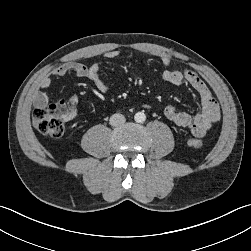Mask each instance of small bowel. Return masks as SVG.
<instances>
[{
  "instance_id": "1",
  "label": "small bowel",
  "mask_w": 251,
  "mask_h": 251,
  "mask_svg": "<svg viewBox=\"0 0 251 251\" xmlns=\"http://www.w3.org/2000/svg\"><path fill=\"white\" fill-rule=\"evenodd\" d=\"M104 56L106 59L113 60L119 56V51L111 50L106 52ZM161 63L166 67V70H164L162 74L164 81L174 85L187 82L197 92L200 99V111L194 117L184 111L178 110L172 105H167L164 108V116L177 126L189 128L194 136H204L220 119V108L211 91L193 70L171 69L172 61L169 57H163ZM70 71L74 72L78 77L90 80L100 93H107L112 87L111 84L105 82L100 76L99 62H93L90 65L79 62H68L55 68L52 71V75L61 77ZM51 84L52 79L50 77H44L40 81L39 87L41 89H48ZM69 102L75 107L79 99L76 95H72L69 98ZM47 103V95L44 92H39L35 97L36 106H45ZM146 107L149 108L148 105Z\"/></svg>"
}]
</instances>
